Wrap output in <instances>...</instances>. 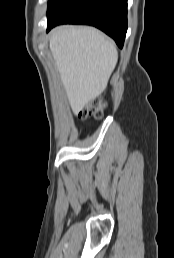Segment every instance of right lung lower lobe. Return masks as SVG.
I'll list each match as a JSON object with an SVG mask.
<instances>
[{
	"label": "right lung lower lobe",
	"mask_w": 174,
	"mask_h": 258,
	"mask_svg": "<svg viewBox=\"0 0 174 258\" xmlns=\"http://www.w3.org/2000/svg\"><path fill=\"white\" fill-rule=\"evenodd\" d=\"M68 23L95 26L122 48L127 31V0H66L48 19L47 31Z\"/></svg>",
	"instance_id": "98d812e1"
}]
</instances>
